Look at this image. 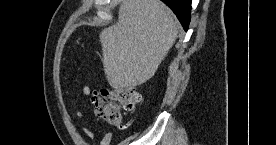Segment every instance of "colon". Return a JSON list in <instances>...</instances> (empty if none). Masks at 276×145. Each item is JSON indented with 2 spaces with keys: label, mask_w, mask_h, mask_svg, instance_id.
<instances>
[{
  "label": "colon",
  "mask_w": 276,
  "mask_h": 145,
  "mask_svg": "<svg viewBox=\"0 0 276 145\" xmlns=\"http://www.w3.org/2000/svg\"><path fill=\"white\" fill-rule=\"evenodd\" d=\"M98 118L111 126H120L122 111H133L141 102V95L131 85L102 88L91 94Z\"/></svg>",
  "instance_id": "5ec220e1"
}]
</instances>
